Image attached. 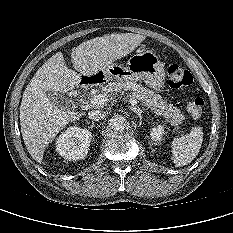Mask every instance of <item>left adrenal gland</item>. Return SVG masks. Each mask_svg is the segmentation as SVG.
<instances>
[{
    "label": "left adrenal gland",
    "mask_w": 233,
    "mask_h": 233,
    "mask_svg": "<svg viewBox=\"0 0 233 233\" xmlns=\"http://www.w3.org/2000/svg\"><path fill=\"white\" fill-rule=\"evenodd\" d=\"M134 113H136L139 118L141 119L142 118V112H143V108H136V107H131L130 108Z\"/></svg>",
    "instance_id": "a2214340"
}]
</instances>
